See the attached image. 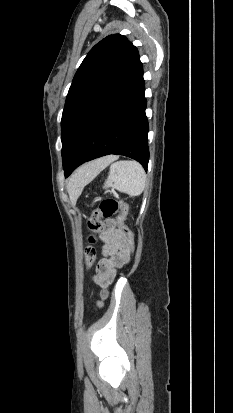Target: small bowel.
<instances>
[{
  "mask_svg": "<svg viewBox=\"0 0 233 413\" xmlns=\"http://www.w3.org/2000/svg\"><path fill=\"white\" fill-rule=\"evenodd\" d=\"M106 229L102 234V258L96 268L95 282L105 289L113 281L117 268L122 267L130 259V251L127 247L125 237L116 228V221L108 219L105 221Z\"/></svg>",
  "mask_w": 233,
  "mask_h": 413,
  "instance_id": "c3829d8e",
  "label": "small bowel"
}]
</instances>
